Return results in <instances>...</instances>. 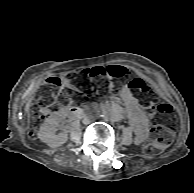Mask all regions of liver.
<instances>
[{
    "label": "liver",
    "mask_w": 194,
    "mask_h": 193,
    "mask_svg": "<svg viewBox=\"0 0 194 193\" xmlns=\"http://www.w3.org/2000/svg\"><path fill=\"white\" fill-rule=\"evenodd\" d=\"M31 100H32V98H30L29 100H28V102L26 103V105H25V113H27L28 111H29V109H30V106H31Z\"/></svg>",
    "instance_id": "obj_1"
}]
</instances>
